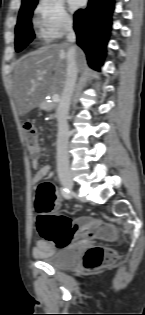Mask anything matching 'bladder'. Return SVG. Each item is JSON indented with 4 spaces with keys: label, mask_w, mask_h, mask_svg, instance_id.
<instances>
[{
    "label": "bladder",
    "mask_w": 145,
    "mask_h": 315,
    "mask_svg": "<svg viewBox=\"0 0 145 315\" xmlns=\"http://www.w3.org/2000/svg\"><path fill=\"white\" fill-rule=\"evenodd\" d=\"M72 249L79 248H64L58 250L51 256L46 257L44 261L49 266L55 269L59 270L68 269L72 267L77 261V256H72Z\"/></svg>",
    "instance_id": "bladder-1"
}]
</instances>
